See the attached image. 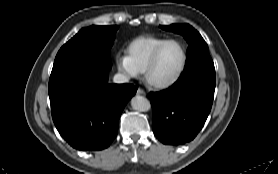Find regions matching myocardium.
Here are the masks:
<instances>
[{
	"mask_svg": "<svg viewBox=\"0 0 278 174\" xmlns=\"http://www.w3.org/2000/svg\"><path fill=\"white\" fill-rule=\"evenodd\" d=\"M169 43H177L181 47L182 61H181L180 67H179L178 71L175 73V75L172 76L171 78L166 79V80H156L152 77V70L154 68V65L156 63V60L159 56L160 51L164 48V46H166ZM186 64H187V50H186V46L184 45V43L178 39H167V40L163 41L160 45H158L155 48V50L153 51V53L151 54L149 61L147 63V66L145 68V71H144L145 80L147 81V83L149 85H151L155 88H159V89L168 88V87L172 86L173 84H175L181 78V76L184 73V70L186 68Z\"/></svg>",
	"mask_w": 278,
	"mask_h": 174,
	"instance_id": "1",
	"label": "myocardium"
}]
</instances>
